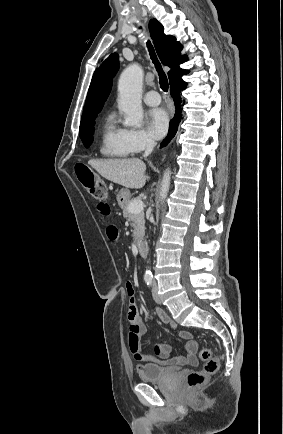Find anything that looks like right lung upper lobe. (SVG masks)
Masks as SVG:
<instances>
[{
  "mask_svg": "<svg viewBox=\"0 0 283 434\" xmlns=\"http://www.w3.org/2000/svg\"><path fill=\"white\" fill-rule=\"evenodd\" d=\"M149 31L160 60L171 68L168 72L170 83L175 78L187 74V70L179 67L187 60V57L180 54L183 46L176 42V38L164 34L163 26L156 19L150 20ZM118 63V55L116 53L111 54L94 72L85 101L81 124L95 121L111 90L112 77L118 70Z\"/></svg>",
  "mask_w": 283,
  "mask_h": 434,
  "instance_id": "right-lung-upper-lobe-1",
  "label": "right lung upper lobe"
}]
</instances>
